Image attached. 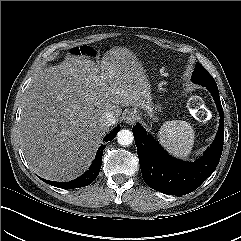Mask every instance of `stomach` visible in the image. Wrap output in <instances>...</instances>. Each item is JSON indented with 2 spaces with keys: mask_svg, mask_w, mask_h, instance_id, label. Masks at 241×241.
Returning <instances> with one entry per match:
<instances>
[{
  "mask_svg": "<svg viewBox=\"0 0 241 241\" xmlns=\"http://www.w3.org/2000/svg\"><path fill=\"white\" fill-rule=\"evenodd\" d=\"M160 106L154 103L145 105L142 109L147 113V115L153 120L157 119V113L160 111Z\"/></svg>",
  "mask_w": 241,
  "mask_h": 241,
  "instance_id": "1",
  "label": "stomach"
}]
</instances>
